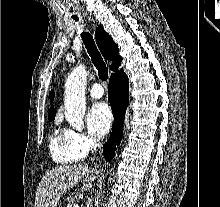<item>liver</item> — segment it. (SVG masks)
Here are the masks:
<instances>
[{
  "instance_id": "6515ba94",
  "label": "liver",
  "mask_w": 220,
  "mask_h": 207,
  "mask_svg": "<svg viewBox=\"0 0 220 207\" xmlns=\"http://www.w3.org/2000/svg\"><path fill=\"white\" fill-rule=\"evenodd\" d=\"M97 177V169H90L87 164L64 165L53 168L46 172L39 183L35 207H57L61 196L76 186L82 178H84V182L90 183Z\"/></svg>"
}]
</instances>
